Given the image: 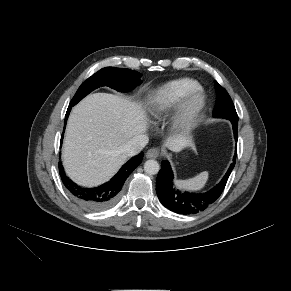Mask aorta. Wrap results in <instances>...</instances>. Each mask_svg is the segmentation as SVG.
Wrapping results in <instances>:
<instances>
[{
	"instance_id": "obj_1",
	"label": "aorta",
	"mask_w": 291,
	"mask_h": 291,
	"mask_svg": "<svg viewBox=\"0 0 291 291\" xmlns=\"http://www.w3.org/2000/svg\"><path fill=\"white\" fill-rule=\"evenodd\" d=\"M144 170L149 175H155L159 172L160 166L159 163L155 160H147L144 163Z\"/></svg>"
}]
</instances>
